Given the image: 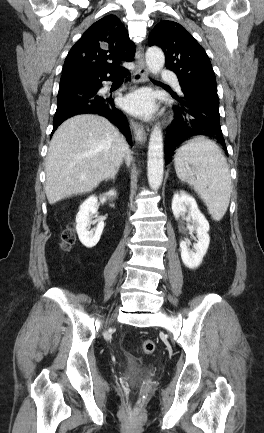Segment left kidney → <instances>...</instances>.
Segmentation results:
<instances>
[{
	"label": "left kidney",
	"mask_w": 264,
	"mask_h": 433,
	"mask_svg": "<svg viewBox=\"0 0 264 433\" xmlns=\"http://www.w3.org/2000/svg\"><path fill=\"white\" fill-rule=\"evenodd\" d=\"M172 212L176 219L186 213H188L192 219L198 241L194 244V249H190L189 242L187 240H182L180 242V249L184 265L189 269H196L201 264L209 247V223L205 216L200 212L196 200L184 191H179L174 194L172 200Z\"/></svg>",
	"instance_id": "obj_1"
}]
</instances>
